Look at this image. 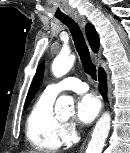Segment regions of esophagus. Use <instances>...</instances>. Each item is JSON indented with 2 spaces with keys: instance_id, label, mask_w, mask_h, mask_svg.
<instances>
[{
  "instance_id": "34e87169",
  "label": "esophagus",
  "mask_w": 130,
  "mask_h": 153,
  "mask_svg": "<svg viewBox=\"0 0 130 153\" xmlns=\"http://www.w3.org/2000/svg\"><path fill=\"white\" fill-rule=\"evenodd\" d=\"M73 17L82 27L85 26L84 17H82L81 15H78V14H74ZM102 109H103V105H102ZM85 144H86V140L82 143L80 150H82L84 148Z\"/></svg>"
}]
</instances>
